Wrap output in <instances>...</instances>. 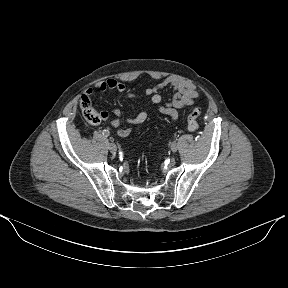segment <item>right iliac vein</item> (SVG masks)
Wrapping results in <instances>:
<instances>
[{
  "label": "right iliac vein",
  "instance_id": "right-iliac-vein-1",
  "mask_svg": "<svg viewBox=\"0 0 288 288\" xmlns=\"http://www.w3.org/2000/svg\"><path fill=\"white\" fill-rule=\"evenodd\" d=\"M108 148L111 153L115 154L117 152V146L114 143H109Z\"/></svg>",
  "mask_w": 288,
  "mask_h": 288
}]
</instances>
